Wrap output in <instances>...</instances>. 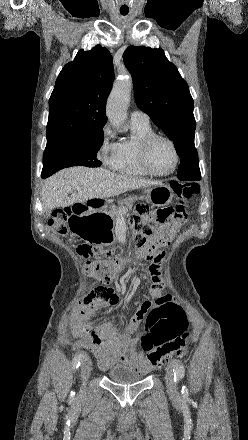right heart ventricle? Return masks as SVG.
Here are the masks:
<instances>
[{
    "label": "right heart ventricle",
    "mask_w": 248,
    "mask_h": 440,
    "mask_svg": "<svg viewBox=\"0 0 248 440\" xmlns=\"http://www.w3.org/2000/svg\"><path fill=\"white\" fill-rule=\"evenodd\" d=\"M131 138L119 143L114 170L130 176H147L139 162V147L148 136L155 134L150 124L131 123Z\"/></svg>",
    "instance_id": "e07e8e85"
}]
</instances>
